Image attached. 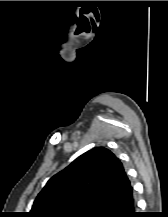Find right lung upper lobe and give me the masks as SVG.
I'll return each instance as SVG.
<instances>
[{"instance_id":"1","label":"right lung upper lobe","mask_w":168,"mask_h":217,"mask_svg":"<svg viewBox=\"0 0 168 217\" xmlns=\"http://www.w3.org/2000/svg\"><path fill=\"white\" fill-rule=\"evenodd\" d=\"M133 196L120 160L97 147L53 176L35 199L28 217H101Z\"/></svg>"}]
</instances>
